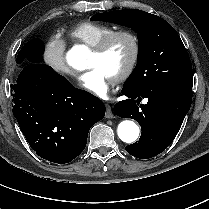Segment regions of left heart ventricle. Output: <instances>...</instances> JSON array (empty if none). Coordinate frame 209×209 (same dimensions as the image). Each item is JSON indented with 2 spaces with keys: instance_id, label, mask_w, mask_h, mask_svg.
Segmentation results:
<instances>
[{
  "instance_id": "left-heart-ventricle-1",
  "label": "left heart ventricle",
  "mask_w": 209,
  "mask_h": 209,
  "mask_svg": "<svg viewBox=\"0 0 209 209\" xmlns=\"http://www.w3.org/2000/svg\"><path fill=\"white\" fill-rule=\"evenodd\" d=\"M131 53V42L127 38L120 37L113 42L105 55L97 56L91 53L89 67H99L110 77L116 78L126 66Z\"/></svg>"
}]
</instances>
